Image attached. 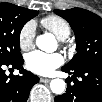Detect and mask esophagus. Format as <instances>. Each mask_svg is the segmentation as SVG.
Masks as SVG:
<instances>
[{
  "label": "esophagus",
  "mask_w": 102,
  "mask_h": 102,
  "mask_svg": "<svg viewBox=\"0 0 102 102\" xmlns=\"http://www.w3.org/2000/svg\"><path fill=\"white\" fill-rule=\"evenodd\" d=\"M40 81L43 82V83H48V82L51 81V79L50 78H43V77H41Z\"/></svg>",
  "instance_id": "1"
}]
</instances>
